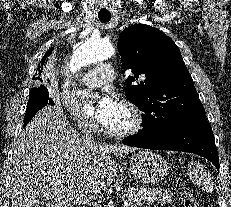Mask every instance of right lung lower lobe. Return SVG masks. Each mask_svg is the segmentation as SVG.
Segmentation results:
<instances>
[{
  "label": "right lung lower lobe",
  "mask_w": 231,
  "mask_h": 207,
  "mask_svg": "<svg viewBox=\"0 0 231 207\" xmlns=\"http://www.w3.org/2000/svg\"><path fill=\"white\" fill-rule=\"evenodd\" d=\"M46 88V87H45ZM54 105V102L49 98L47 88L45 90L39 91L33 101L28 103L27 111L24 116V126H26L32 117L45 105L48 104Z\"/></svg>",
  "instance_id": "obj_1"
}]
</instances>
